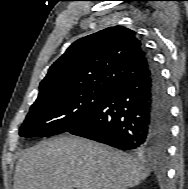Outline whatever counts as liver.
Segmentation results:
<instances>
[{
	"label": "liver",
	"instance_id": "6515ba94",
	"mask_svg": "<svg viewBox=\"0 0 188 189\" xmlns=\"http://www.w3.org/2000/svg\"><path fill=\"white\" fill-rule=\"evenodd\" d=\"M148 175L132 156L85 138L63 136L22 153L13 189H127Z\"/></svg>",
	"mask_w": 188,
	"mask_h": 189
}]
</instances>
